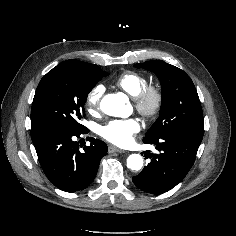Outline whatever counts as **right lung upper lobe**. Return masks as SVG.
<instances>
[{
    "instance_id": "cb5924a9",
    "label": "right lung upper lobe",
    "mask_w": 236,
    "mask_h": 236,
    "mask_svg": "<svg viewBox=\"0 0 236 236\" xmlns=\"http://www.w3.org/2000/svg\"><path fill=\"white\" fill-rule=\"evenodd\" d=\"M65 62L74 63V64L80 66L81 68H83L84 70H86L87 72H89L91 74H97L98 71L101 70L96 65H93V64H90V63L81 62V61H77V60H74V59L67 60Z\"/></svg>"
}]
</instances>
